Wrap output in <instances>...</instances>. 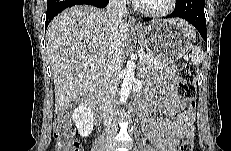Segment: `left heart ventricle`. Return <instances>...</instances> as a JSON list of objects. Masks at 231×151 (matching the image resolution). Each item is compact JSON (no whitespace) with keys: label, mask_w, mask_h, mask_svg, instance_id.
I'll return each mask as SVG.
<instances>
[{"label":"left heart ventricle","mask_w":231,"mask_h":151,"mask_svg":"<svg viewBox=\"0 0 231 151\" xmlns=\"http://www.w3.org/2000/svg\"><path fill=\"white\" fill-rule=\"evenodd\" d=\"M167 0H151L146 1L144 4L152 9H160L166 5Z\"/></svg>","instance_id":"left-heart-ventricle-1"}]
</instances>
